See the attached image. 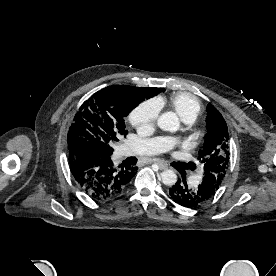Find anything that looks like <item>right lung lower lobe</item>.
I'll return each mask as SVG.
<instances>
[{"instance_id":"98d812e1","label":"right lung lower lobe","mask_w":276,"mask_h":276,"mask_svg":"<svg viewBox=\"0 0 276 276\" xmlns=\"http://www.w3.org/2000/svg\"><path fill=\"white\" fill-rule=\"evenodd\" d=\"M70 171L82 189L94 200H107L120 194L135 176L137 167L115 168L109 157L99 156L87 147L69 150Z\"/></svg>"}]
</instances>
